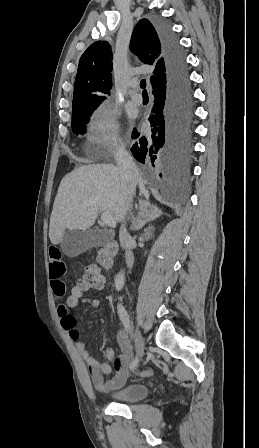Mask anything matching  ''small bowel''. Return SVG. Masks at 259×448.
Instances as JSON below:
<instances>
[{
	"mask_svg": "<svg viewBox=\"0 0 259 448\" xmlns=\"http://www.w3.org/2000/svg\"><path fill=\"white\" fill-rule=\"evenodd\" d=\"M66 267L61 257L60 249L56 245L49 247V276L51 287L56 298H62L66 292V285L63 280ZM80 303H84L92 308L100 305L97 297L86 296L77 285L71 288L70 295L64 303L57 307V314L60 319L61 327L68 333L71 339L75 341L76 349L83 358L88 369V380L91 386L103 392L121 388L127 381L130 368L133 349L127 335L123 331L117 333V342L121 349V354L115 357L114 350L107 348L105 350V358L113 361L114 374L109 380H105L104 376L112 372V367L108 362L99 361L94 358L86 347V344L79 340V334L75 327V320L70 313V309L77 307ZM153 374L151 369L143 370L138 373L141 377H149Z\"/></svg>",
	"mask_w": 259,
	"mask_h": 448,
	"instance_id": "obj_1",
	"label": "small bowel"
}]
</instances>
